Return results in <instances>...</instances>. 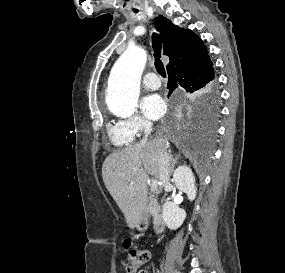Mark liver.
<instances>
[{
  "label": "liver",
  "instance_id": "6515ba94",
  "mask_svg": "<svg viewBox=\"0 0 285 273\" xmlns=\"http://www.w3.org/2000/svg\"><path fill=\"white\" fill-rule=\"evenodd\" d=\"M160 144L166 148L163 139L140 141L110 154L103 163L104 184L130 228L137 225L145 208L149 175L159 178Z\"/></svg>",
  "mask_w": 285,
  "mask_h": 273
}]
</instances>
